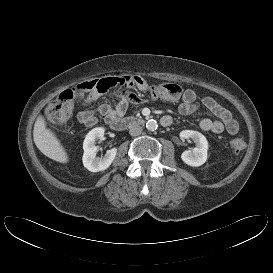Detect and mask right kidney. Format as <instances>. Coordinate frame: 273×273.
<instances>
[{
	"label": "right kidney",
	"instance_id": "ca27d5eb",
	"mask_svg": "<svg viewBox=\"0 0 273 273\" xmlns=\"http://www.w3.org/2000/svg\"><path fill=\"white\" fill-rule=\"evenodd\" d=\"M104 132L105 129L102 127L94 128L86 135L83 142V165L91 172L106 170L112 164L117 154V148H112L107 151L103 158L96 157V139L102 138Z\"/></svg>",
	"mask_w": 273,
	"mask_h": 273
}]
</instances>
